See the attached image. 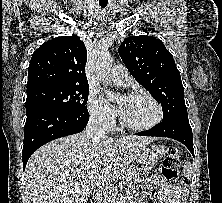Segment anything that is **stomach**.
<instances>
[{"instance_id": "0dacf381", "label": "stomach", "mask_w": 222, "mask_h": 203, "mask_svg": "<svg viewBox=\"0 0 222 203\" xmlns=\"http://www.w3.org/2000/svg\"><path fill=\"white\" fill-rule=\"evenodd\" d=\"M165 154L162 145H151L141 149L137 154L138 162L144 170L152 168L154 164Z\"/></svg>"}]
</instances>
